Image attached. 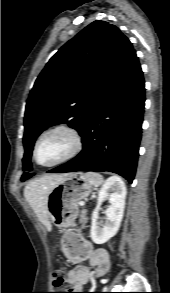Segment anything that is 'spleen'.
<instances>
[{"label":"spleen","mask_w":170,"mask_h":293,"mask_svg":"<svg viewBox=\"0 0 170 293\" xmlns=\"http://www.w3.org/2000/svg\"><path fill=\"white\" fill-rule=\"evenodd\" d=\"M85 178L88 183L93 187H98L104 183L102 175L95 172H87L85 174Z\"/></svg>","instance_id":"obj_1"}]
</instances>
